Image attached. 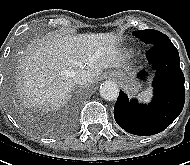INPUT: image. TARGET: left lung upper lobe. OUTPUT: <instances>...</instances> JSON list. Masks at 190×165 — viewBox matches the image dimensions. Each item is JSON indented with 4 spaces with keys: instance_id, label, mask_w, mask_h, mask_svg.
I'll return each instance as SVG.
<instances>
[{
    "instance_id": "5c2ea615",
    "label": "left lung upper lobe",
    "mask_w": 190,
    "mask_h": 165,
    "mask_svg": "<svg viewBox=\"0 0 190 165\" xmlns=\"http://www.w3.org/2000/svg\"><path fill=\"white\" fill-rule=\"evenodd\" d=\"M133 34L150 46H153L165 39H169L165 34L157 30H138L134 31Z\"/></svg>"
}]
</instances>
